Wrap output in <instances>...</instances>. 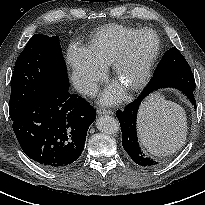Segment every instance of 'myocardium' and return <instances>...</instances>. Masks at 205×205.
Here are the masks:
<instances>
[{"instance_id":"obj_1","label":"myocardium","mask_w":205,"mask_h":205,"mask_svg":"<svg viewBox=\"0 0 205 205\" xmlns=\"http://www.w3.org/2000/svg\"><path fill=\"white\" fill-rule=\"evenodd\" d=\"M145 34H152L155 37L156 45L154 50L146 56L140 64V73L136 80L125 85L127 91H137L142 89L150 79L151 71L160 53V39L153 29H142L136 32L127 42L125 49L113 62V74L116 80L121 79L126 64L135 57V44L139 38Z\"/></svg>"}]
</instances>
